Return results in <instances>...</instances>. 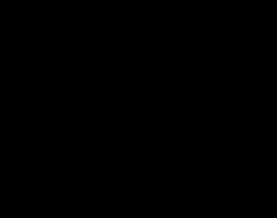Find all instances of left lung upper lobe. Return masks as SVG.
Here are the masks:
<instances>
[{
  "label": "left lung upper lobe",
  "instance_id": "obj_1",
  "mask_svg": "<svg viewBox=\"0 0 277 218\" xmlns=\"http://www.w3.org/2000/svg\"><path fill=\"white\" fill-rule=\"evenodd\" d=\"M186 96H187V94H186ZM193 124H194L193 121H189V122L183 123L182 126H180L178 129L182 130L183 132H186L188 134H191V133H194L193 126H192ZM171 128L175 129L176 127H168L166 129H164V131H168ZM161 131H163V130L161 129Z\"/></svg>",
  "mask_w": 277,
  "mask_h": 218
}]
</instances>
